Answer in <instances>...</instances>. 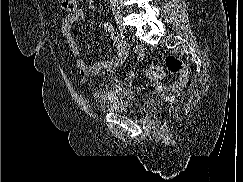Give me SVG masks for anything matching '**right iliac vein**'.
<instances>
[{
  "label": "right iliac vein",
  "mask_w": 243,
  "mask_h": 182,
  "mask_svg": "<svg viewBox=\"0 0 243 182\" xmlns=\"http://www.w3.org/2000/svg\"><path fill=\"white\" fill-rule=\"evenodd\" d=\"M118 27H119V29H120V31L122 33H126L127 32L125 26L121 22H119Z\"/></svg>",
  "instance_id": "63e3f726"
}]
</instances>
